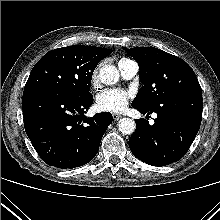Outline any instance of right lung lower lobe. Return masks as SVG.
Segmentation results:
<instances>
[{
  "label": "right lung lower lobe",
  "instance_id": "right-lung-lower-lobe-1",
  "mask_svg": "<svg viewBox=\"0 0 220 220\" xmlns=\"http://www.w3.org/2000/svg\"><path fill=\"white\" fill-rule=\"evenodd\" d=\"M92 103V94L76 97L47 88L24 90L25 131L44 162L61 169L75 168L96 156L113 119L109 112L85 117Z\"/></svg>",
  "mask_w": 220,
  "mask_h": 220
}]
</instances>
